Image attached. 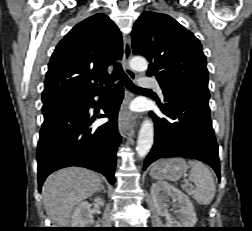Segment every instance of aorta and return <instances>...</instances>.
<instances>
[{
    "instance_id": "obj_1",
    "label": "aorta",
    "mask_w": 252,
    "mask_h": 231,
    "mask_svg": "<svg viewBox=\"0 0 252 231\" xmlns=\"http://www.w3.org/2000/svg\"><path fill=\"white\" fill-rule=\"evenodd\" d=\"M130 67L135 71H146L148 68V62L143 57H133L130 60ZM154 138V126L150 118L143 121L137 140V154L140 158H144L150 151L153 145Z\"/></svg>"
}]
</instances>
